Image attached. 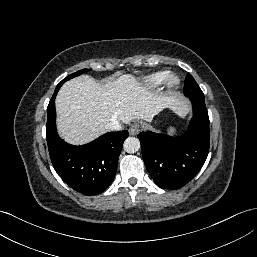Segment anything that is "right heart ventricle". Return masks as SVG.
Masks as SVG:
<instances>
[{
	"instance_id": "e07e8e85",
	"label": "right heart ventricle",
	"mask_w": 257,
	"mask_h": 257,
	"mask_svg": "<svg viewBox=\"0 0 257 257\" xmlns=\"http://www.w3.org/2000/svg\"><path fill=\"white\" fill-rule=\"evenodd\" d=\"M168 75L167 71H158L144 78V84L149 88H155L164 83Z\"/></svg>"
}]
</instances>
